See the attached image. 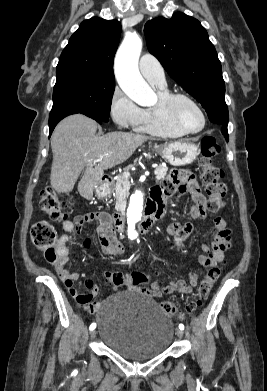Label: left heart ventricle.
Here are the masks:
<instances>
[{
  "label": "left heart ventricle",
  "mask_w": 267,
  "mask_h": 391,
  "mask_svg": "<svg viewBox=\"0 0 267 391\" xmlns=\"http://www.w3.org/2000/svg\"><path fill=\"white\" fill-rule=\"evenodd\" d=\"M174 112L179 122L188 130L196 131L201 128L203 120L200 112L186 101H178Z\"/></svg>",
  "instance_id": "obj_1"
}]
</instances>
